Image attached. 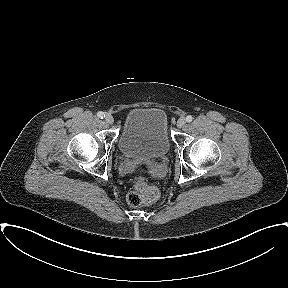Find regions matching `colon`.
<instances>
[{"mask_svg": "<svg viewBox=\"0 0 288 288\" xmlns=\"http://www.w3.org/2000/svg\"><path fill=\"white\" fill-rule=\"evenodd\" d=\"M141 172L146 171L147 166L140 164L138 166ZM158 190L156 187L149 185L143 176H139L134 183V188L127 195V202L133 207L152 203L158 198Z\"/></svg>", "mask_w": 288, "mask_h": 288, "instance_id": "colon-1", "label": "colon"}]
</instances>
